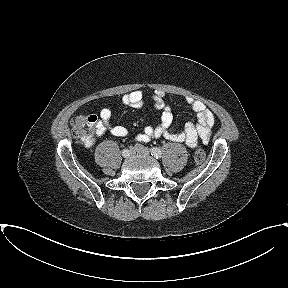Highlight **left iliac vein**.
<instances>
[{
	"label": "left iliac vein",
	"mask_w": 288,
	"mask_h": 288,
	"mask_svg": "<svg viewBox=\"0 0 288 288\" xmlns=\"http://www.w3.org/2000/svg\"><path fill=\"white\" fill-rule=\"evenodd\" d=\"M134 151L139 153V154H144V155H149L150 150L142 145H136L134 148Z\"/></svg>",
	"instance_id": "obj_1"
}]
</instances>
